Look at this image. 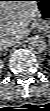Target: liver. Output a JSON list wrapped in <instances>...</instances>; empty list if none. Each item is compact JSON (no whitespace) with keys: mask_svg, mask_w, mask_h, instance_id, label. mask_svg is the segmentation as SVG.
Here are the masks:
<instances>
[{"mask_svg":"<svg viewBox=\"0 0 50 111\" xmlns=\"http://www.w3.org/2000/svg\"><path fill=\"white\" fill-rule=\"evenodd\" d=\"M1 24L0 41L4 36L18 35L26 37L29 31L26 27L36 16H38L37 2L33 0H8L1 1Z\"/></svg>","mask_w":50,"mask_h":111,"instance_id":"obj_1","label":"liver"}]
</instances>
